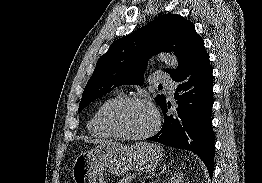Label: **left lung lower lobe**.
Here are the masks:
<instances>
[{
	"instance_id": "0a47b994",
	"label": "left lung lower lobe",
	"mask_w": 262,
	"mask_h": 183,
	"mask_svg": "<svg viewBox=\"0 0 262 183\" xmlns=\"http://www.w3.org/2000/svg\"><path fill=\"white\" fill-rule=\"evenodd\" d=\"M205 47L196 53L172 79L178 83L175 113L168 114L170 103L160 108L164 115L162 129L149 141L197 154L212 176L214 170V131L212 127L213 77Z\"/></svg>"
}]
</instances>
